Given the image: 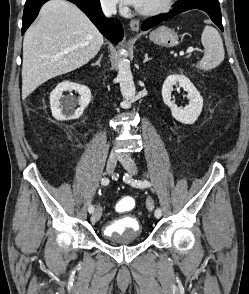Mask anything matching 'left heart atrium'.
Masks as SVG:
<instances>
[{"label": "left heart atrium", "mask_w": 249, "mask_h": 294, "mask_svg": "<svg viewBox=\"0 0 249 294\" xmlns=\"http://www.w3.org/2000/svg\"><path fill=\"white\" fill-rule=\"evenodd\" d=\"M122 1L127 4H131V5H135L139 7L142 0H122Z\"/></svg>", "instance_id": "obj_1"}]
</instances>
